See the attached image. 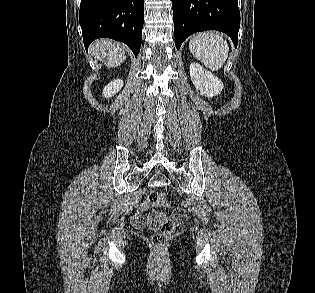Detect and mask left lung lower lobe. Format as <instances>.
Listing matches in <instances>:
<instances>
[{
  "label": "left lung lower lobe",
  "mask_w": 315,
  "mask_h": 293,
  "mask_svg": "<svg viewBox=\"0 0 315 293\" xmlns=\"http://www.w3.org/2000/svg\"><path fill=\"white\" fill-rule=\"evenodd\" d=\"M175 44L199 31L218 30L237 45L240 12L237 0H172Z\"/></svg>",
  "instance_id": "obj_1"
}]
</instances>
